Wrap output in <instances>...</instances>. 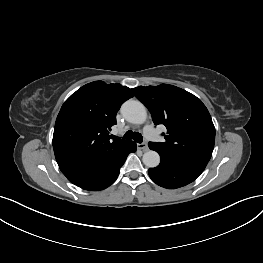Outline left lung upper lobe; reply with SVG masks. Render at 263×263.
<instances>
[{
    "instance_id": "5c2ea615",
    "label": "left lung upper lobe",
    "mask_w": 263,
    "mask_h": 263,
    "mask_svg": "<svg viewBox=\"0 0 263 263\" xmlns=\"http://www.w3.org/2000/svg\"><path fill=\"white\" fill-rule=\"evenodd\" d=\"M135 96L149 109L155 125L163 124L165 142H149L161 159L204 170L215 143L211 116L193 94L173 85L139 86Z\"/></svg>"
}]
</instances>
